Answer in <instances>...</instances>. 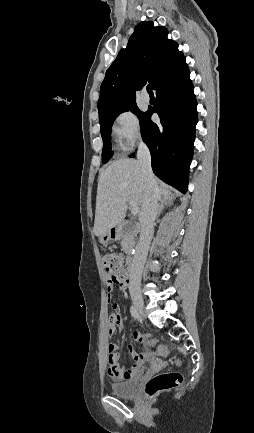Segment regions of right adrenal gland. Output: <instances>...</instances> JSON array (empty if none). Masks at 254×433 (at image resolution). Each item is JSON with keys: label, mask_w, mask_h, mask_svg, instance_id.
Masks as SVG:
<instances>
[{"label": "right adrenal gland", "mask_w": 254, "mask_h": 433, "mask_svg": "<svg viewBox=\"0 0 254 433\" xmlns=\"http://www.w3.org/2000/svg\"><path fill=\"white\" fill-rule=\"evenodd\" d=\"M173 204V200L170 197H163L160 199V205L158 208V213L161 214L162 210L166 207V206H171Z\"/></svg>", "instance_id": "2a0ac1e0"}]
</instances>
